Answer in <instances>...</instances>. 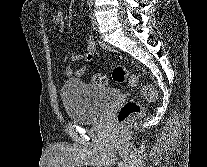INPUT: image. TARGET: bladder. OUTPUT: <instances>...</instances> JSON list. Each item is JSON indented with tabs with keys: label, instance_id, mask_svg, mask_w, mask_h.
Listing matches in <instances>:
<instances>
[{
	"label": "bladder",
	"instance_id": "31cf9c89",
	"mask_svg": "<svg viewBox=\"0 0 207 167\" xmlns=\"http://www.w3.org/2000/svg\"><path fill=\"white\" fill-rule=\"evenodd\" d=\"M118 97L115 89L93 86L79 79L67 80L61 89L66 114L77 123L98 121Z\"/></svg>",
	"mask_w": 207,
	"mask_h": 167
}]
</instances>
